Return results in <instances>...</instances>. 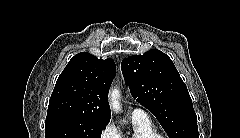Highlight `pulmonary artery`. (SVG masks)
Listing matches in <instances>:
<instances>
[{
  "label": "pulmonary artery",
  "instance_id": "pulmonary-artery-1",
  "mask_svg": "<svg viewBox=\"0 0 240 138\" xmlns=\"http://www.w3.org/2000/svg\"><path fill=\"white\" fill-rule=\"evenodd\" d=\"M132 116H146V112L141 107H135L133 109Z\"/></svg>",
  "mask_w": 240,
  "mask_h": 138
}]
</instances>
